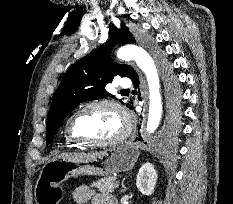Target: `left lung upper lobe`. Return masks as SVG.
<instances>
[{
	"label": "left lung upper lobe",
	"instance_id": "5c2ea615",
	"mask_svg": "<svg viewBox=\"0 0 233 204\" xmlns=\"http://www.w3.org/2000/svg\"><path fill=\"white\" fill-rule=\"evenodd\" d=\"M110 35L112 38L107 45L100 46L75 62L62 78L53 95L48 113L46 144L51 142L65 117L79 103L110 96L111 94L105 89V86L111 83L115 76L131 78L133 74H136L131 66L116 64L110 56V48L115 44L135 42L132 33L125 25H122L120 30L113 29ZM156 54L167 79L168 121L176 128L180 114L179 93L175 87V79L169 72L167 62L160 53ZM127 106L130 105L127 104Z\"/></svg>",
	"mask_w": 233,
	"mask_h": 204
}]
</instances>
